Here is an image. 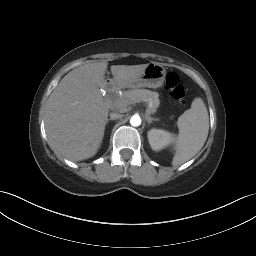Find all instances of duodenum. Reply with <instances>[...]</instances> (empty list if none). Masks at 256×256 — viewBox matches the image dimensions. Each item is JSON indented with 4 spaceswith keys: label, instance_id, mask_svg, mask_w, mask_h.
Masks as SVG:
<instances>
[{
    "label": "duodenum",
    "instance_id": "410a0bca",
    "mask_svg": "<svg viewBox=\"0 0 256 256\" xmlns=\"http://www.w3.org/2000/svg\"><path fill=\"white\" fill-rule=\"evenodd\" d=\"M106 88H107V89H113V88H114V83H113L112 81H108V82L106 83Z\"/></svg>",
    "mask_w": 256,
    "mask_h": 256
}]
</instances>
